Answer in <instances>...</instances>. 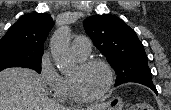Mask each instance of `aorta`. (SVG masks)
I'll return each instance as SVG.
<instances>
[{"label": "aorta", "instance_id": "obj_1", "mask_svg": "<svg viewBox=\"0 0 171 110\" xmlns=\"http://www.w3.org/2000/svg\"><path fill=\"white\" fill-rule=\"evenodd\" d=\"M51 55L61 73L69 72L74 63L69 49L68 28L63 27L56 33L50 42Z\"/></svg>", "mask_w": 171, "mask_h": 110}]
</instances>
